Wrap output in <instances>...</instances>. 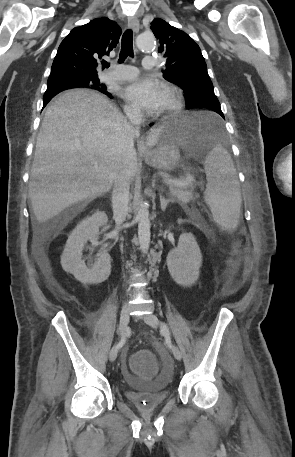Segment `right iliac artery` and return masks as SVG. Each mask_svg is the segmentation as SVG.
I'll return each instance as SVG.
<instances>
[{
  "mask_svg": "<svg viewBox=\"0 0 295 457\" xmlns=\"http://www.w3.org/2000/svg\"><path fill=\"white\" fill-rule=\"evenodd\" d=\"M124 343H125V337H123V338L121 339V341L119 342V344H118V349L121 348V347L124 345Z\"/></svg>",
  "mask_w": 295,
  "mask_h": 457,
  "instance_id": "right-iliac-artery-1",
  "label": "right iliac artery"
}]
</instances>
